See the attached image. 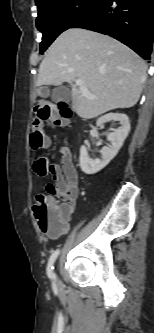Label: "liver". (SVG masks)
Listing matches in <instances>:
<instances>
[{"instance_id":"obj_1","label":"liver","mask_w":154,"mask_h":333,"mask_svg":"<svg viewBox=\"0 0 154 333\" xmlns=\"http://www.w3.org/2000/svg\"><path fill=\"white\" fill-rule=\"evenodd\" d=\"M147 65L118 40L94 31L70 28L49 47L36 85L71 86L72 107L83 119L117 108L133 107L146 79ZM77 79L96 99L85 96Z\"/></svg>"}]
</instances>
